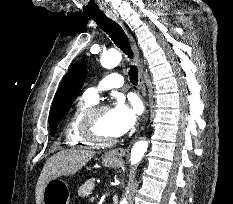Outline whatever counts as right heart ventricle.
I'll list each match as a JSON object with an SVG mask.
<instances>
[{
  "label": "right heart ventricle",
  "mask_w": 233,
  "mask_h": 204,
  "mask_svg": "<svg viewBox=\"0 0 233 204\" xmlns=\"http://www.w3.org/2000/svg\"><path fill=\"white\" fill-rule=\"evenodd\" d=\"M94 105V102L83 97L80 99L67 117L64 136L66 144L71 147L92 146L91 142L86 140L81 133L82 119L86 111Z\"/></svg>",
  "instance_id": "right-heart-ventricle-1"
}]
</instances>
